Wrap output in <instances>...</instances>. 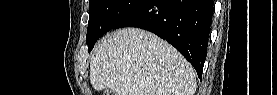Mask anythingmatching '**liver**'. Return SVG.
Masks as SVG:
<instances>
[{"label": "liver", "mask_w": 277, "mask_h": 95, "mask_svg": "<svg viewBox=\"0 0 277 95\" xmlns=\"http://www.w3.org/2000/svg\"><path fill=\"white\" fill-rule=\"evenodd\" d=\"M94 89L115 95H193L195 70L153 33L124 28L105 36L90 59Z\"/></svg>", "instance_id": "obj_1"}]
</instances>
